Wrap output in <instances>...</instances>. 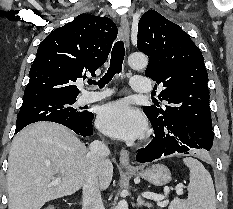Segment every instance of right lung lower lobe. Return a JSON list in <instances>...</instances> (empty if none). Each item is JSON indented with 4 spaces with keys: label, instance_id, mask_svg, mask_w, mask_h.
Here are the masks:
<instances>
[{
    "label": "right lung lower lobe",
    "instance_id": "right-lung-lower-lobe-1",
    "mask_svg": "<svg viewBox=\"0 0 233 209\" xmlns=\"http://www.w3.org/2000/svg\"><path fill=\"white\" fill-rule=\"evenodd\" d=\"M94 118V114L91 112H87L86 117L77 122V123H69V124H62L73 130L76 134L86 137L93 134L92 129V120ZM23 127L25 126H16L15 133H18Z\"/></svg>",
    "mask_w": 233,
    "mask_h": 209
}]
</instances>
